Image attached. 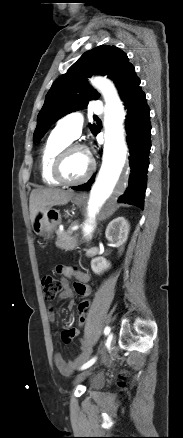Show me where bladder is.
I'll return each instance as SVG.
<instances>
[{
    "label": "bladder",
    "instance_id": "bladder-1",
    "mask_svg": "<svg viewBox=\"0 0 183 438\" xmlns=\"http://www.w3.org/2000/svg\"><path fill=\"white\" fill-rule=\"evenodd\" d=\"M103 383H104V380L101 377H96L92 380L91 385L93 387H100L103 385Z\"/></svg>",
    "mask_w": 183,
    "mask_h": 438
}]
</instances>
